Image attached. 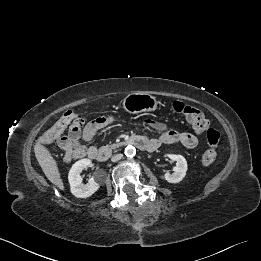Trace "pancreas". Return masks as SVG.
<instances>
[{
    "instance_id": "cf45deb5",
    "label": "pancreas",
    "mask_w": 261,
    "mask_h": 261,
    "mask_svg": "<svg viewBox=\"0 0 261 261\" xmlns=\"http://www.w3.org/2000/svg\"><path fill=\"white\" fill-rule=\"evenodd\" d=\"M116 147H118V144H112L111 145V148H116Z\"/></svg>"
}]
</instances>
